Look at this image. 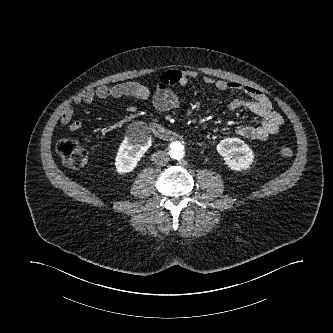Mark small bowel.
Here are the masks:
<instances>
[{"mask_svg":"<svg viewBox=\"0 0 333 333\" xmlns=\"http://www.w3.org/2000/svg\"><path fill=\"white\" fill-rule=\"evenodd\" d=\"M197 76L198 72L195 70H169L164 72L160 76L152 96L151 110L166 112L178 108L180 105L179 96L172 87H184ZM203 82L207 85H213L219 91H241L250 97L249 100L234 99L228 106L230 111L247 109L261 119V122L257 125L240 126L237 130L240 136L251 140H265L279 132L283 124V118L273 109L269 99L260 90L236 81L215 80L209 76H204ZM150 96L151 93L148 87L136 81H129L114 86H101L84 91L74 98V103L90 104L96 100L121 97L146 100ZM73 116L74 108L72 106L65 108L60 123L69 125L71 131L77 132L82 129L83 123L80 120H72Z\"/></svg>","mask_w":333,"mask_h":333,"instance_id":"1","label":"small bowel"}]
</instances>
